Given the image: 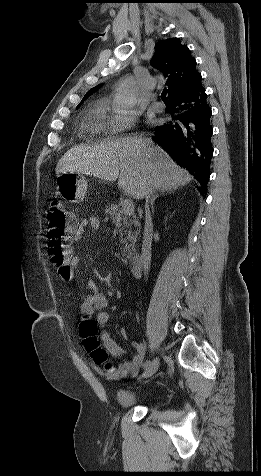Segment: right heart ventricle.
<instances>
[{
  "label": "right heart ventricle",
  "instance_id": "right-heart-ventricle-1",
  "mask_svg": "<svg viewBox=\"0 0 261 476\" xmlns=\"http://www.w3.org/2000/svg\"><path fill=\"white\" fill-rule=\"evenodd\" d=\"M92 115L89 121V131L93 136L100 135L105 131L106 119L105 108L102 104H96L92 108Z\"/></svg>",
  "mask_w": 261,
  "mask_h": 476
}]
</instances>
